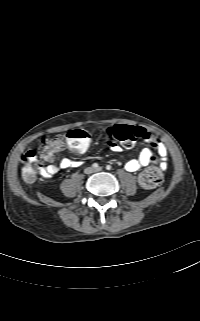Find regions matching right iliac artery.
Wrapping results in <instances>:
<instances>
[{
    "instance_id": "1",
    "label": "right iliac artery",
    "mask_w": 200,
    "mask_h": 321,
    "mask_svg": "<svg viewBox=\"0 0 200 321\" xmlns=\"http://www.w3.org/2000/svg\"><path fill=\"white\" fill-rule=\"evenodd\" d=\"M92 166L93 168H98L99 165L97 163H94Z\"/></svg>"
}]
</instances>
